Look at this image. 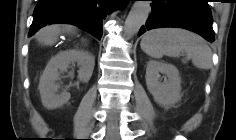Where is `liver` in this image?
<instances>
[{
	"label": "liver",
	"instance_id": "1",
	"mask_svg": "<svg viewBox=\"0 0 236 140\" xmlns=\"http://www.w3.org/2000/svg\"><path fill=\"white\" fill-rule=\"evenodd\" d=\"M74 33L75 27L71 25H51L44 27L37 33V40L44 45H53L57 40L60 33Z\"/></svg>",
	"mask_w": 236,
	"mask_h": 140
}]
</instances>
